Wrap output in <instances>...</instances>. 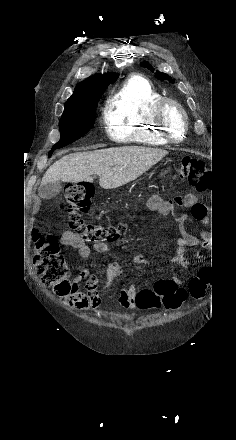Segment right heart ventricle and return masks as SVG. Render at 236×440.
I'll return each mask as SVG.
<instances>
[{"instance_id":"e07e8e85","label":"right heart ventricle","mask_w":236,"mask_h":440,"mask_svg":"<svg viewBox=\"0 0 236 440\" xmlns=\"http://www.w3.org/2000/svg\"><path fill=\"white\" fill-rule=\"evenodd\" d=\"M163 95L146 78L133 75L111 96L103 114L107 136L118 143L162 146L168 142L153 121Z\"/></svg>"}]
</instances>
